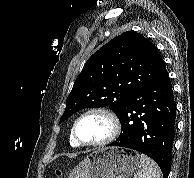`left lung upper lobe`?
<instances>
[{"mask_svg": "<svg viewBox=\"0 0 194 178\" xmlns=\"http://www.w3.org/2000/svg\"><path fill=\"white\" fill-rule=\"evenodd\" d=\"M166 68L157 47L143 35L127 31L113 38L85 63L66 100L60 123L88 107L117 112L123 101Z\"/></svg>", "mask_w": 194, "mask_h": 178, "instance_id": "left-lung-upper-lobe-1", "label": "left lung upper lobe"}]
</instances>
